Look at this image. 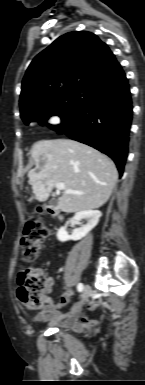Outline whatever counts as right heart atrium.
<instances>
[{
	"label": "right heart atrium",
	"mask_w": 145,
	"mask_h": 385,
	"mask_svg": "<svg viewBox=\"0 0 145 385\" xmlns=\"http://www.w3.org/2000/svg\"><path fill=\"white\" fill-rule=\"evenodd\" d=\"M47 123L50 125H58L60 123V117L58 115H50L47 118Z\"/></svg>",
	"instance_id": "right-heart-atrium-1"
}]
</instances>
